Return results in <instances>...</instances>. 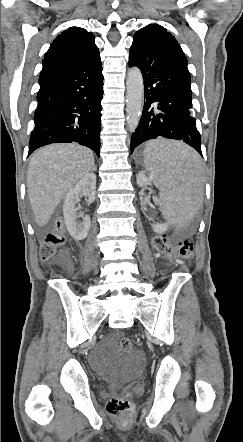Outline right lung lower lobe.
Wrapping results in <instances>:
<instances>
[{
    "label": "right lung lower lobe",
    "instance_id": "1",
    "mask_svg": "<svg viewBox=\"0 0 243 442\" xmlns=\"http://www.w3.org/2000/svg\"><path fill=\"white\" fill-rule=\"evenodd\" d=\"M30 155L37 148L78 142L100 150L103 75L100 57L40 74Z\"/></svg>",
    "mask_w": 243,
    "mask_h": 442
}]
</instances>
